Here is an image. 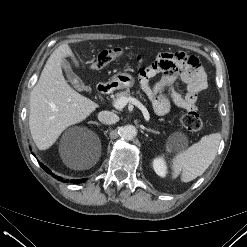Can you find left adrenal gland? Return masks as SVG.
<instances>
[{
	"mask_svg": "<svg viewBox=\"0 0 247 247\" xmlns=\"http://www.w3.org/2000/svg\"><path fill=\"white\" fill-rule=\"evenodd\" d=\"M147 131H148V132H151V133H154V134H159V132L156 131V130H154V129L148 128Z\"/></svg>",
	"mask_w": 247,
	"mask_h": 247,
	"instance_id": "a2214340",
	"label": "left adrenal gland"
}]
</instances>
